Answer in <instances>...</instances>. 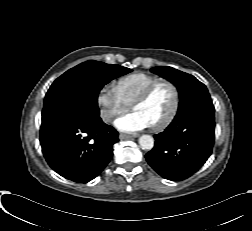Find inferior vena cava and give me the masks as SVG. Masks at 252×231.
I'll list each match as a JSON object with an SVG mask.
<instances>
[{
	"mask_svg": "<svg viewBox=\"0 0 252 231\" xmlns=\"http://www.w3.org/2000/svg\"><path fill=\"white\" fill-rule=\"evenodd\" d=\"M111 117H112V115H111V114H109V113H105V114L103 115V120H105V121H109V120L111 119Z\"/></svg>",
	"mask_w": 252,
	"mask_h": 231,
	"instance_id": "602c4592",
	"label": "inferior vena cava"
}]
</instances>
